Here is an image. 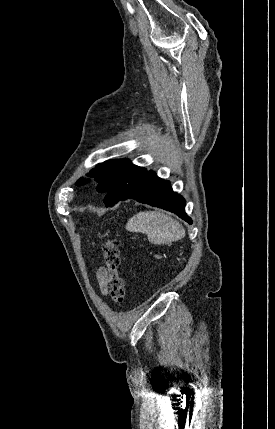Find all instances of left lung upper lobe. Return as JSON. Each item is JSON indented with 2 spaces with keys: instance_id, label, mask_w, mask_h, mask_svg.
Segmentation results:
<instances>
[{
  "instance_id": "obj_1",
  "label": "left lung upper lobe",
  "mask_w": 275,
  "mask_h": 429,
  "mask_svg": "<svg viewBox=\"0 0 275 429\" xmlns=\"http://www.w3.org/2000/svg\"><path fill=\"white\" fill-rule=\"evenodd\" d=\"M147 171L146 168H141L133 165L128 159L109 160L99 164L89 172V176L93 177L99 183L97 191L107 192L110 187H116L118 197H107L104 203L107 206H112L120 201V198L127 192L131 184L141 177ZM89 180H78L77 185L88 183Z\"/></svg>"
}]
</instances>
